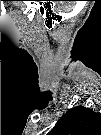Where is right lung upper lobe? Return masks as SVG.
<instances>
[{"mask_svg": "<svg viewBox=\"0 0 101 135\" xmlns=\"http://www.w3.org/2000/svg\"><path fill=\"white\" fill-rule=\"evenodd\" d=\"M89 113H90L89 110H87L83 107L72 108L60 118V120L58 121V124L63 125V126L67 125L70 127L75 126L79 123L80 120L89 121L92 116ZM64 123H66V124H64ZM67 129H68V127H67Z\"/></svg>", "mask_w": 101, "mask_h": 135, "instance_id": "right-lung-upper-lobe-1", "label": "right lung upper lobe"}]
</instances>
